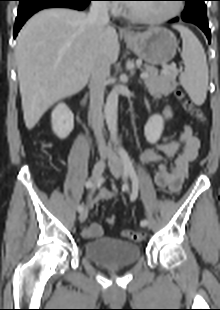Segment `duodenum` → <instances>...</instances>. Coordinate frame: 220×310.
<instances>
[{"instance_id": "obj_1", "label": "duodenum", "mask_w": 220, "mask_h": 310, "mask_svg": "<svg viewBox=\"0 0 220 310\" xmlns=\"http://www.w3.org/2000/svg\"><path fill=\"white\" fill-rule=\"evenodd\" d=\"M87 99H88V97H86V98H85V100H84V102H83V105H85V104H86Z\"/></svg>"}]
</instances>
